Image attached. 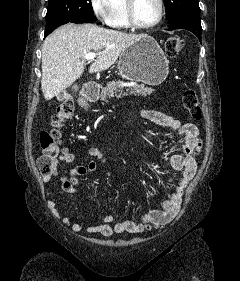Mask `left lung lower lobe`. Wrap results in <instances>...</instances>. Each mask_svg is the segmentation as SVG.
Instances as JSON below:
<instances>
[{
	"mask_svg": "<svg viewBox=\"0 0 240 281\" xmlns=\"http://www.w3.org/2000/svg\"><path fill=\"white\" fill-rule=\"evenodd\" d=\"M186 29L194 33L201 41L202 27L200 20L182 19L171 24L169 30Z\"/></svg>",
	"mask_w": 240,
	"mask_h": 281,
	"instance_id": "0a47b994",
	"label": "left lung lower lobe"
}]
</instances>
